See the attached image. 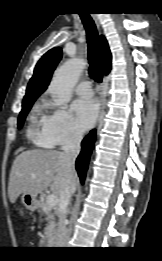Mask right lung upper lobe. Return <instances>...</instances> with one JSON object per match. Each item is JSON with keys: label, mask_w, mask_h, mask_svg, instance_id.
<instances>
[{"label": "right lung upper lobe", "mask_w": 162, "mask_h": 261, "mask_svg": "<svg viewBox=\"0 0 162 261\" xmlns=\"http://www.w3.org/2000/svg\"><path fill=\"white\" fill-rule=\"evenodd\" d=\"M100 45L103 72L107 75L111 70V53L108 43L103 36L100 37ZM61 57L62 50L60 47H55L42 56L34 69L32 78L28 83L26 95L24 96L23 101L37 99L40 94L46 90L52 73Z\"/></svg>", "instance_id": "right-lung-upper-lobe-1"}]
</instances>
